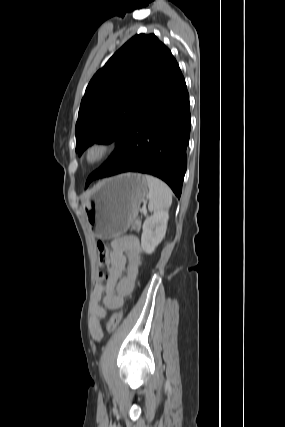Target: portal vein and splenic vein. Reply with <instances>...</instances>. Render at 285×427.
Segmentation results:
<instances>
[{"instance_id":"1","label":"portal vein and splenic vein","mask_w":285,"mask_h":427,"mask_svg":"<svg viewBox=\"0 0 285 427\" xmlns=\"http://www.w3.org/2000/svg\"><path fill=\"white\" fill-rule=\"evenodd\" d=\"M142 212H143V214H146V212H147V211H146V209H145V208H143V209H142Z\"/></svg>"}]
</instances>
